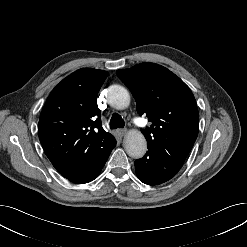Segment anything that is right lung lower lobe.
<instances>
[{"label":"right lung lower lobe","instance_id":"98d812e1","mask_svg":"<svg viewBox=\"0 0 247 247\" xmlns=\"http://www.w3.org/2000/svg\"><path fill=\"white\" fill-rule=\"evenodd\" d=\"M115 145L116 142L112 145L111 149L108 150L104 155L94 158L91 161L74 169H71L61 175L67 178L69 181H72L77 184L88 183L94 180L101 172Z\"/></svg>","mask_w":247,"mask_h":247}]
</instances>
